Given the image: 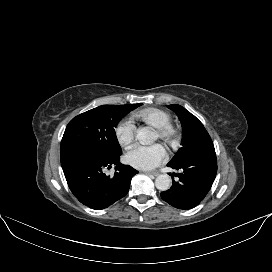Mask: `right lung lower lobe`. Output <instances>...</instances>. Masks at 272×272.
I'll list each match as a JSON object with an SVG mask.
<instances>
[{"instance_id":"right-lung-lower-lobe-1","label":"right lung lower lobe","mask_w":272,"mask_h":272,"mask_svg":"<svg viewBox=\"0 0 272 272\" xmlns=\"http://www.w3.org/2000/svg\"><path fill=\"white\" fill-rule=\"evenodd\" d=\"M121 154L108 155L82 143L61 144L60 160L66 181L81 203L101 210L128 193L131 179L138 171L120 164ZM111 165H116L112 177L104 173Z\"/></svg>"}]
</instances>
